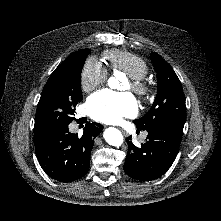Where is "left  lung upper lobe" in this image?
<instances>
[{
	"label": "left lung upper lobe",
	"mask_w": 221,
	"mask_h": 221,
	"mask_svg": "<svg viewBox=\"0 0 221 221\" xmlns=\"http://www.w3.org/2000/svg\"><path fill=\"white\" fill-rule=\"evenodd\" d=\"M157 73V96L142 118L134 120L138 129L148 130L150 127L164 123L178 121L185 122V95L182 85L172 67L157 53L151 54Z\"/></svg>",
	"instance_id": "left-lung-upper-lobe-1"
}]
</instances>
